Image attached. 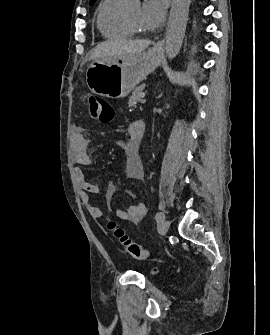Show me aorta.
<instances>
[{
    "mask_svg": "<svg viewBox=\"0 0 270 335\" xmlns=\"http://www.w3.org/2000/svg\"><path fill=\"white\" fill-rule=\"evenodd\" d=\"M190 0H173L168 30L165 38V50L172 60L180 52L188 20Z\"/></svg>",
    "mask_w": 270,
    "mask_h": 335,
    "instance_id": "1",
    "label": "aorta"
}]
</instances>
